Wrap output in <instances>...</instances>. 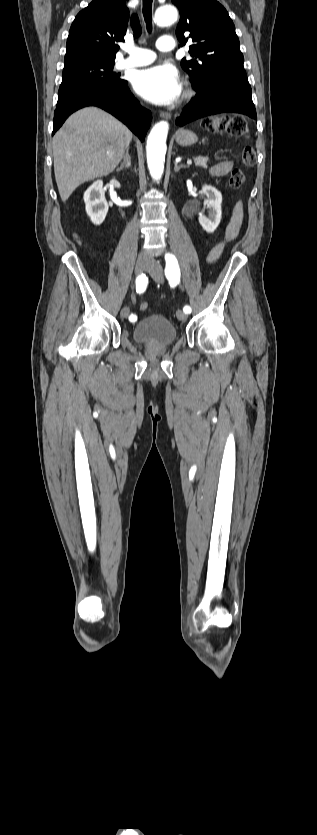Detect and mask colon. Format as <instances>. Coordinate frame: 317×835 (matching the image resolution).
I'll use <instances>...</instances> for the list:
<instances>
[{
    "mask_svg": "<svg viewBox=\"0 0 317 835\" xmlns=\"http://www.w3.org/2000/svg\"><path fill=\"white\" fill-rule=\"evenodd\" d=\"M202 126L210 133L225 132L234 138H246L248 135L246 120L241 116L235 117H209L202 121ZM256 161V153L254 148L246 146L242 152V163L246 167H251ZM245 181V175L240 169H234L231 173L229 184L233 189H239ZM142 311L149 310V305L146 302H140L138 305Z\"/></svg>",
    "mask_w": 317,
    "mask_h": 835,
    "instance_id": "5ec220e1",
    "label": "colon"
}]
</instances>
